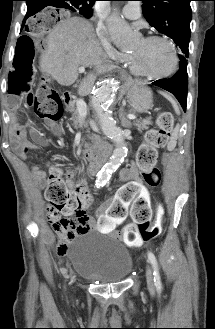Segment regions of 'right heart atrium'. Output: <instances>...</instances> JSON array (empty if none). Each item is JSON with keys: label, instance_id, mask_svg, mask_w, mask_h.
<instances>
[{"label": "right heart atrium", "instance_id": "1", "mask_svg": "<svg viewBox=\"0 0 215 329\" xmlns=\"http://www.w3.org/2000/svg\"><path fill=\"white\" fill-rule=\"evenodd\" d=\"M96 34L103 48L111 58L115 60H121L123 58V54L113 45L108 31L102 23L97 24Z\"/></svg>", "mask_w": 215, "mask_h": 329}]
</instances>
